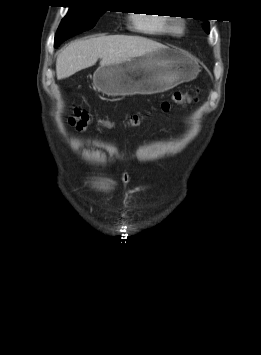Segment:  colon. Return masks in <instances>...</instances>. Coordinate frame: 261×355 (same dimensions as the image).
I'll return each instance as SVG.
<instances>
[{
  "label": "colon",
  "mask_w": 261,
  "mask_h": 355,
  "mask_svg": "<svg viewBox=\"0 0 261 355\" xmlns=\"http://www.w3.org/2000/svg\"><path fill=\"white\" fill-rule=\"evenodd\" d=\"M195 101V93L177 91L173 93L171 99L163 101L161 103V109L164 112H169L173 106H185ZM70 122L79 130H85L93 124V120L90 115L79 108H75L70 118ZM141 122L139 115L135 114L129 118V124L132 126H138ZM97 126L110 127L111 122L108 120H98Z\"/></svg>",
  "instance_id": "colon-1"
}]
</instances>
